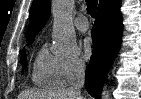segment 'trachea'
I'll return each instance as SVG.
<instances>
[{"label":"trachea","mask_w":141,"mask_h":99,"mask_svg":"<svg viewBox=\"0 0 141 99\" xmlns=\"http://www.w3.org/2000/svg\"><path fill=\"white\" fill-rule=\"evenodd\" d=\"M87 11L94 18L96 15L97 0H86Z\"/></svg>","instance_id":"3493384b"}]
</instances>
